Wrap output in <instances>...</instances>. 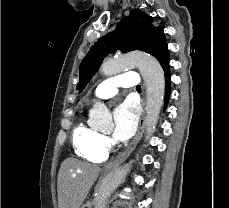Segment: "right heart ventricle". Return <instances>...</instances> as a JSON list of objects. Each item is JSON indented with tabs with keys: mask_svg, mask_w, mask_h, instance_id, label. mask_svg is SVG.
Wrapping results in <instances>:
<instances>
[{
	"mask_svg": "<svg viewBox=\"0 0 229 208\" xmlns=\"http://www.w3.org/2000/svg\"><path fill=\"white\" fill-rule=\"evenodd\" d=\"M100 136L96 129L81 118L71 133V145L75 155L88 162L101 161L105 153L99 148Z\"/></svg>",
	"mask_w": 229,
	"mask_h": 208,
	"instance_id": "1",
	"label": "right heart ventricle"
}]
</instances>
